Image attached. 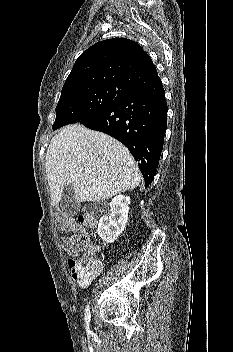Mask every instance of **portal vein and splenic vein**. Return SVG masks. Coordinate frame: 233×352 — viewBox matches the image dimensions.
<instances>
[{
	"label": "portal vein and splenic vein",
	"mask_w": 233,
	"mask_h": 352,
	"mask_svg": "<svg viewBox=\"0 0 233 352\" xmlns=\"http://www.w3.org/2000/svg\"><path fill=\"white\" fill-rule=\"evenodd\" d=\"M86 172L88 173V172H90L89 170H86Z\"/></svg>",
	"instance_id": "obj_1"
}]
</instances>
